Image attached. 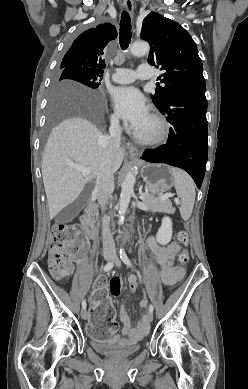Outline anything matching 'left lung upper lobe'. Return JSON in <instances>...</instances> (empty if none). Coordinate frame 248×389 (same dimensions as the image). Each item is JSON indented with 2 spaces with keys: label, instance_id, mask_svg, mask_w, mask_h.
<instances>
[{
  "label": "left lung upper lobe",
  "instance_id": "obj_1",
  "mask_svg": "<svg viewBox=\"0 0 248 389\" xmlns=\"http://www.w3.org/2000/svg\"><path fill=\"white\" fill-rule=\"evenodd\" d=\"M141 38L150 44L148 63L163 71L158 77L153 102L163 107L179 90L205 84L203 66L189 33L177 22L151 12L143 20Z\"/></svg>",
  "mask_w": 248,
  "mask_h": 389
}]
</instances>
